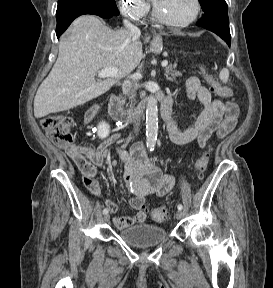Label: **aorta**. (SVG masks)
Here are the masks:
<instances>
[{
	"instance_id": "1",
	"label": "aorta",
	"mask_w": 273,
	"mask_h": 288,
	"mask_svg": "<svg viewBox=\"0 0 273 288\" xmlns=\"http://www.w3.org/2000/svg\"><path fill=\"white\" fill-rule=\"evenodd\" d=\"M158 134V107L155 97L150 96L146 105V145L152 151Z\"/></svg>"
}]
</instances>
